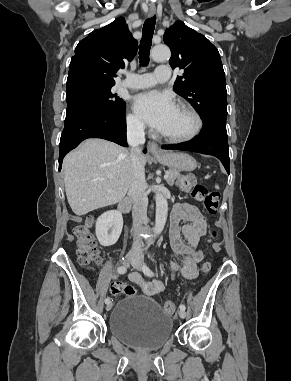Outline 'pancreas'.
I'll list each match as a JSON object with an SVG mask.
<instances>
[{"label": "pancreas", "mask_w": 291, "mask_h": 381, "mask_svg": "<svg viewBox=\"0 0 291 381\" xmlns=\"http://www.w3.org/2000/svg\"><path fill=\"white\" fill-rule=\"evenodd\" d=\"M168 175H169V177H168V179H167V183H168L169 185L172 186V185L174 184L175 179H176L180 174H179V171H178V170L170 169V170L168 171Z\"/></svg>", "instance_id": "pancreas-1"}]
</instances>
